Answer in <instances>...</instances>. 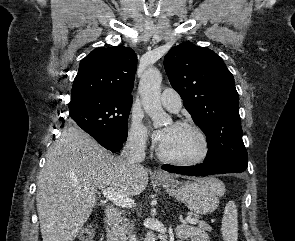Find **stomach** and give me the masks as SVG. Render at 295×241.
<instances>
[{
  "label": "stomach",
  "mask_w": 295,
  "mask_h": 241,
  "mask_svg": "<svg viewBox=\"0 0 295 241\" xmlns=\"http://www.w3.org/2000/svg\"><path fill=\"white\" fill-rule=\"evenodd\" d=\"M159 183L170 196L184 203L196 214L214 212L219 205V197L225 192L223 183L217 179H214L212 184L201 179L159 181Z\"/></svg>",
  "instance_id": "0dacf381"
}]
</instances>
